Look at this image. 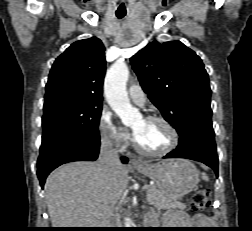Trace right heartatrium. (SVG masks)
<instances>
[{
	"label": "right heart atrium",
	"mask_w": 252,
	"mask_h": 231,
	"mask_svg": "<svg viewBox=\"0 0 252 231\" xmlns=\"http://www.w3.org/2000/svg\"><path fill=\"white\" fill-rule=\"evenodd\" d=\"M98 130L102 140L108 145L123 150L129 144V134L116 123L108 110L101 112L98 121Z\"/></svg>",
	"instance_id": "1"
}]
</instances>
